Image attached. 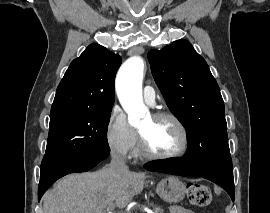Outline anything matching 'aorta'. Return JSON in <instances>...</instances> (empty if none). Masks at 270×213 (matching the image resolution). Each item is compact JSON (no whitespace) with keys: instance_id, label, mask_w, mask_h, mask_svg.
I'll return each mask as SVG.
<instances>
[{"instance_id":"762f6f07","label":"aorta","mask_w":270,"mask_h":213,"mask_svg":"<svg viewBox=\"0 0 270 213\" xmlns=\"http://www.w3.org/2000/svg\"><path fill=\"white\" fill-rule=\"evenodd\" d=\"M143 75V59L133 56L121 66L116 77V92L131 126L139 125L150 115L142 98Z\"/></svg>"}]
</instances>
